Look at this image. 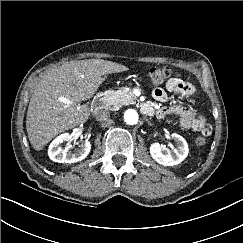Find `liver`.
Instances as JSON below:
<instances>
[{
  "label": "liver",
  "mask_w": 243,
  "mask_h": 243,
  "mask_svg": "<svg viewBox=\"0 0 243 243\" xmlns=\"http://www.w3.org/2000/svg\"><path fill=\"white\" fill-rule=\"evenodd\" d=\"M126 70L112 61L88 59L47 71L36 85L27 111L26 130L32 147L40 151L61 132L86 122L89 106L79 102L93 97L105 75ZM62 97L71 104L60 101Z\"/></svg>",
  "instance_id": "liver-1"
}]
</instances>
